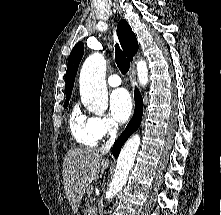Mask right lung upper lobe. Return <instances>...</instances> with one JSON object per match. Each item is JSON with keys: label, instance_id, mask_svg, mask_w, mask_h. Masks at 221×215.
Returning a JSON list of instances; mask_svg holds the SVG:
<instances>
[{"label": "right lung upper lobe", "instance_id": "1", "mask_svg": "<svg viewBox=\"0 0 221 215\" xmlns=\"http://www.w3.org/2000/svg\"><path fill=\"white\" fill-rule=\"evenodd\" d=\"M118 36L122 45V48L127 58L132 61L133 56L138 51V43L135 34L132 32L131 27L125 20H120L117 26ZM84 52V45L82 42L77 43L72 49L65 75V94L66 99H70L74 81L80 60L82 59Z\"/></svg>", "mask_w": 221, "mask_h": 215}]
</instances>
